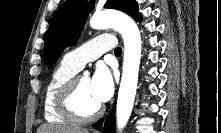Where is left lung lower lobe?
I'll use <instances>...</instances> for the list:
<instances>
[{"label":"left lung lower lobe","instance_id":"1","mask_svg":"<svg viewBox=\"0 0 221 133\" xmlns=\"http://www.w3.org/2000/svg\"><path fill=\"white\" fill-rule=\"evenodd\" d=\"M103 125V119L96 122L94 126L100 127ZM115 119L113 115H109L105 121V126L103 128L104 133H114Z\"/></svg>","mask_w":221,"mask_h":133}]
</instances>
